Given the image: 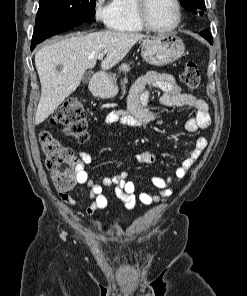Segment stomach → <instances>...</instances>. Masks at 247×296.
<instances>
[{
	"instance_id": "stomach-1",
	"label": "stomach",
	"mask_w": 247,
	"mask_h": 296,
	"mask_svg": "<svg viewBox=\"0 0 247 296\" xmlns=\"http://www.w3.org/2000/svg\"><path fill=\"white\" fill-rule=\"evenodd\" d=\"M143 59L149 64L164 66L180 59L185 52V45L176 34H158L146 37L141 44ZM123 71L129 70L126 63L120 66ZM118 88L107 76L96 84L95 93L102 98H110L117 94Z\"/></svg>"
}]
</instances>
